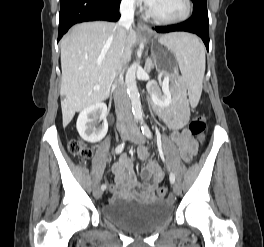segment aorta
Wrapping results in <instances>:
<instances>
[{
    "label": "aorta",
    "instance_id": "obj_1",
    "mask_svg": "<svg viewBox=\"0 0 264 247\" xmlns=\"http://www.w3.org/2000/svg\"><path fill=\"white\" fill-rule=\"evenodd\" d=\"M139 67V63L134 62L127 70L125 76V83L127 92L132 105V112L135 120L142 119L141 101L136 83V71Z\"/></svg>",
    "mask_w": 264,
    "mask_h": 247
}]
</instances>
